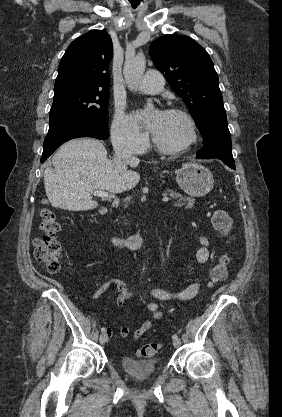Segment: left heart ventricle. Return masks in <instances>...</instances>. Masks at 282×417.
<instances>
[{
	"mask_svg": "<svg viewBox=\"0 0 282 417\" xmlns=\"http://www.w3.org/2000/svg\"><path fill=\"white\" fill-rule=\"evenodd\" d=\"M154 134L164 144L175 145L186 139L187 128L180 117L163 113Z\"/></svg>",
	"mask_w": 282,
	"mask_h": 417,
	"instance_id": "left-heart-ventricle-1",
	"label": "left heart ventricle"
}]
</instances>
